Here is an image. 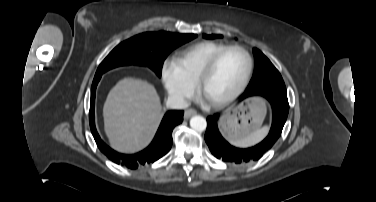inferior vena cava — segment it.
I'll list each match as a JSON object with an SVG mask.
<instances>
[{"instance_id": "obj_1", "label": "inferior vena cava", "mask_w": 376, "mask_h": 202, "mask_svg": "<svg viewBox=\"0 0 376 202\" xmlns=\"http://www.w3.org/2000/svg\"><path fill=\"white\" fill-rule=\"evenodd\" d=\"M188 105L182 96L171 95L166 101V107L170 109H186Z\"/></svg>"}]
</instances>
